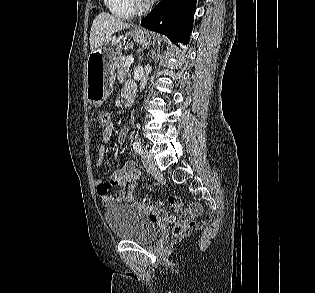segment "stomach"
<instances>
[{
  "mask_svg": "<svg viewBox=\"0 0 315 293\" xmlns=\"http://www.w3.org/2000/svg\"><path fill=\"white\" fill-rule=\"evenodd\" d=\"M131 36L136 43L142 45L149 44L151 40L150 34L142 29L132 31ZM122 45L120 38L112 37L88 56L86 96L89 103L95 107L101 106L112 92Z\"/></svg>",
  "mask_w": 315,
  "mask_h": 293,
  "instance_id": "stomach-1",
  "label": "stomach"
}]
</instances>
